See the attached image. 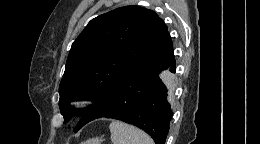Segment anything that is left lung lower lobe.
<instances>
[{"label": "left lung lower lobe", "instance_id": "0a47b994", "mask_svg": "<svg viewBox=\"0 0 260 144\" xmlns=\"http://www.w3.org/2000/svg\"><path fill=\"white\" fill-rule=\"evenodd\" d=\"M161 62H170V69L175 72L172 42L126 74L105 110L95 119L110 118L132 124L148 133L156 144H165L173 112L170 91L159 77Z\"/></svg>", "mask_w": 260, "mask_h": 144}]
</instances>
